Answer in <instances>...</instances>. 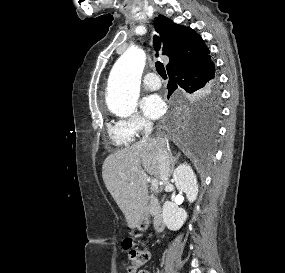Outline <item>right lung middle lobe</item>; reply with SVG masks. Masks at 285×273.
Masks as SVG:
<instances>
[{"label": "right lung middle lobe", "mask_w": 285, "mask_h": 273, "mask_svg": "<svg viewBox=\"0 0 285 273\" xmlns=\"http://www.w3.org/2000/svg\"><path fill=\"white\" fill-rule=\"evenodd\" d=\"M215 84H216V81H214L211 85H209L207 88H205L204 90L202 91H198L194 98L195 100H201L207 96H210L212 95L213 96V89L215 87ZM213 114H215V112L213 113V111H211V117L213 116Z\"/></svg>", "instance_id": "right-lung-middle-lobe-1"}]
</instances>
